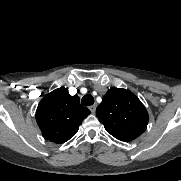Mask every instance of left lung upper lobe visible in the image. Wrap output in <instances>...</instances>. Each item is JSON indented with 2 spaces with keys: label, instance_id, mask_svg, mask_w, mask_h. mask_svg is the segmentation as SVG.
Segmentation results:
<instances>
[{
  "label": "left lung upper lobe",
  "instance_id": "obj_1",
  "mask_svg": "<svg viewBox=\"0 0 181 181\" xmlns=\"http://www.w3.org/2000/svg\"><path fill=\"white\" fill-rule=\"evenodd\" d=\"M96 116L108 133L129 142L142 134L149 116L146 108L132 92L112 87L96 109Z\"/></svg>",
  "mask_w": 181,
  "mask_h": 181
}]
</instances>
